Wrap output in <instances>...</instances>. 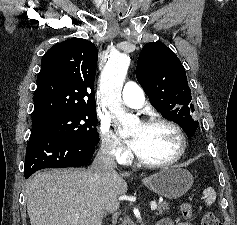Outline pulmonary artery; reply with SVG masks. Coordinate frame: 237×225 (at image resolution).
<instances>
[{
	"label": "pulmonary artery",
	"instance_id": "pulmonary-artery-1",
	"mask_svg": "<svg viewBox=\"0 0 237 225\" xmlns=\"http://www.w3.org/2000/svg\"><path fill=\"white\" fill-rule=\"evenodd\" d=\"M122 101L129 107L140 108L145 103V95L141 86L133 81H128L122 91Z\"/></svg>",
	"mask_w": 237,
	"mask_h": 225
}]
</instances>
